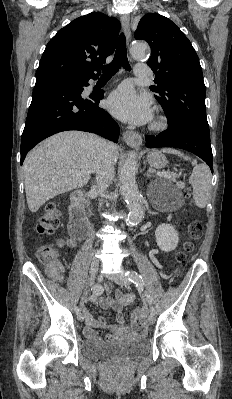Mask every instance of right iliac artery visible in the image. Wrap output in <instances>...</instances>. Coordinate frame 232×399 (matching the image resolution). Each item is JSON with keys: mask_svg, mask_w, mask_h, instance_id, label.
Masks as SVG:
<instances>
[{"mask_svg": "<svg viewBox=\"0 0 232 399\" xmlns=\"http://www.w3.org/2000/svg\"><path fill=\"white\" fill-rule=\"evenodd\" d=\"M96 296L94 294L90 295V300L94 299ZM75 313L78 315L80 313V309L78 307L75 308Z\"/></svg>", "mask_w": 232, "mask_h": 399, "instance_id": "82829eb1", "label": "right iliac artery"}]
</instances>
